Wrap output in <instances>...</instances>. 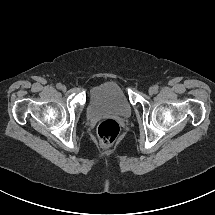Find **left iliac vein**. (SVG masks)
<instances>
[{"instance_id":"left-iliac-vein-1","label":"left iliac vein","mask_w":215,"mask_h":215,"mask_svg":"<svg viewBox=\"0 0 215 215\" xmlns=\"http://www.w3.org/2000/svg\"><path fill=\"white\" fill-rule=\"evenodd\" d=\"M148 92H149V94H150V95L155 94V93H156V89H155V87H153V86H152V87H150V88H149V90H148Z\"/></svg>"}]
</instances>
